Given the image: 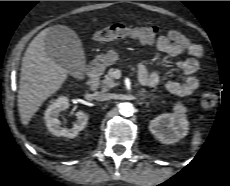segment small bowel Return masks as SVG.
I'll use <instances>...</instances> for the list:
<instances>
[{
	"mask_svg": "<svg viewBox=\"0 0 230 186\" xmlns=\"http://www.w3.org/2000/svg\"><path fill=\"white\" fill-rule=\"evenodd\" d=\"M155 47L159 52L166 55L171 60L172 65L186 76L182 81H168L166 83L167 90L178 96L191 95L199 86L196 73L199 69V59L203 56L202 47L176 30H169L160 36ZM183 53L190 55V57L183 60L175 59ZM138 75L141 83L149 87H155L160 82L159 74L150 73L144 64L139 65Z\"/></svg>",
	"mask_w": 230,
	"mask_h": 186,
	"instance_id": "1",
	"label": "small bowel"
}]
</instances>
